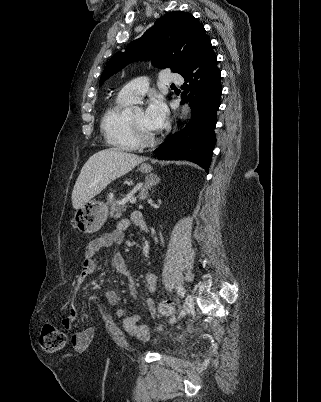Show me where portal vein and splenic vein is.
Here are the masks:
<instances>
[{"instance_id":"portal-vein-and-splenic-vein-1","label":"portal vein and splenic vein","mask_w":321,"mask_h":402,"mask_svg":"<svg viewBox=\"0 0 321 402\" xmlns=\"http://www.w3.org/2000/svg\"><path fill=\"white\" fill-rule=\"evenodd\" d=\"M136 197H134V196H132V197H130L129 198V202L131 203V204H134V203H136Z\"/></svg>"}]
</instances>
